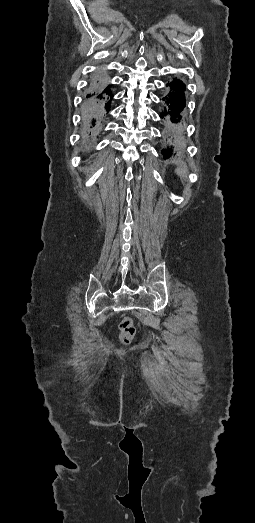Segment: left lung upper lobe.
Masks as SVG:
<instances>
[{"instance_id":"5c2ea615","label":"left lung upper lobe","mask_w":255,"mask_h":523,"mask_svg":"<svg viewBox=\"0 0 255 523\" xmlns=\"http://www.w3.org/2000/svg\"><path fill=\"white\" fill-rule=\"evenodd\" d=\"M176 80H178V79H176ZM179 81H180V80H179ZM180 82H181V85H184V83H183L182 81H180ZM184 87H185V85H184ZM170 89H173V88H170ZM176 95H178V92H176ZM172 100H174V98H172ZM167 104H168V103H167ZM172 109H173V108H172ZM163 111H166V109L163 108ZM169 111H170V110H169ZM178 113H180V116H182V115H181L182 112H178ZM164 120H166V119H164ZM178 123H179V121H178ZM175 130H176V132H178V135L168 134L166 137H170V139H173L174 141H178V140H175V137H178V136H179V131H177V129H175ZM166 141H167V140H166ZM166 147H175V148H178V144H174L173 146H168V145L166 144V145H165V148H166ZM162 150H163V149H162ZM161 152H162V151H161ZM173 153H174V152H173ZM163 156H164V155H163Z\"/></svg>"}]
</instances>
